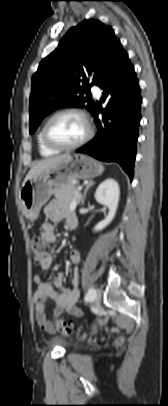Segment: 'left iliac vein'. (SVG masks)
Returning a JSON list of instances; mask_svg holds the SVG:
<instances>
[{
  "mask_svg": "<svg viewBox=\"0 0 168 406\" xmlns=\"http://www.w3.org/2000/svg\"><path fill=\"white\" fill-rule=\"evenodd\" d=\"M101 295H102L101 290L99 288H96L95 289V295H94V298H93V301H94L96 306H98L99 303H100Z\"/></svg>",
  "mask_w": 168,
  "mask_h": 406,
  "instance_id": "left-iliac-vein-1",
  "label": "left iliac vein"
}]
</instances>
